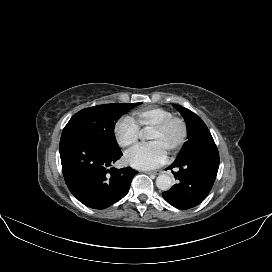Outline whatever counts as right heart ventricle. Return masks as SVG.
Returning <instances> with one entry per match:
<instances>
[{
    "mask_svg": "<svg viewBox=\"0 0 272 272\" xmlns=\"http://www.w3.org/2000/svg\"><path fill=\"white\" fill-rule=\"evenodd\" d=\"M173 116L172 112L158 106H146L132 112L131 121L138 129L145 130L154 127L166 118Z\"/></svg>",
    "mask_w": 272,
    "mask_h": 272,
    "instance_id": "right-heart-ventricle-1",
    "label": "right heart ventricle"
}]
</instances>
